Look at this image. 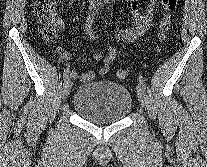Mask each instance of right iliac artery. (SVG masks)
<instances>
[{"label": "right iliac artery", "mask_w": 207, "mask_h": 167, "mask_svg": "<svg viewBox=\"0 0 207 167\" xmlns=\"http://www.w3.org/2000/svg\"><path fill=\"white\" fill-rule=\"evenodd\" d=\"M69 72H70V69H69V66L64 70V73H63V80L65 81L68 76H69Z\"/></svg>", "instance_id": "1"}]
</instances>
